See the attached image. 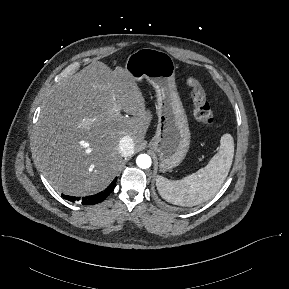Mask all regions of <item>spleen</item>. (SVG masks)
<instances>
[{
    "mask_svg": "<svg viewBox=\"0 0 289 289\" xmlns=\"http://www.w3.org/2000/svg\"><path fill=\"white\" fill-rule=\"evenodd\" d=\"M233 156V137L224 134L220 140L219 151L204 168L177 181L157 176V190L163 199L172 204L180 206L201 204L219 191L229 173Z\"/></svg>",
    "mask_w": 289,
    "mask_h": 289,
    "instance_id": "spleen-1",
    "label": "spleen"
}]
</instances>
